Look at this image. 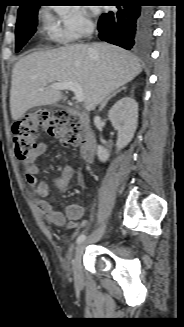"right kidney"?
<instances>
[{
    "label": "right kidney",
    "mask_w": 184,
    "mask_h": 327,
    "mask_svg": "<svg viewBox=\"0 0 184 327\" xmlns=\"http://www.w3.org/2000/svg\"><path fill=\"white\" fill-rule=\"evenodd\" d=\"M112 126L118 131L117 150L124 148L133 138L137 129L138 104L130 97L117 101L108 112ZM97 156L101 162L109 158V152L102 146L97 147Z\"/></svg>",
    "instance_id": "1"
}]
</instances>
